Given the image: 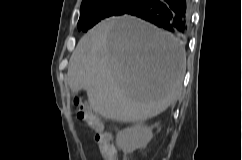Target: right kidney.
<instances>
[{
    "label": "right kidney",
    "mask_w": 242,
    "mask_h": 160,
    "mask_svg": "<svg viewBox=\"0 0 242 160\" xmlns=\"http://www.w3.org/2000/svg\"><path fill=\"white\" fill-rule=\"evenodd\" d=\"M152 138V127L140 124L118 132L116 144L125 153H132L136 149L146 147Z\"/></svg>",
    "instance_id": "1"
}]
</instances>
